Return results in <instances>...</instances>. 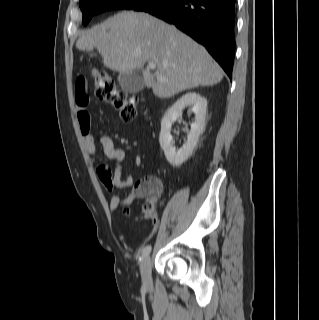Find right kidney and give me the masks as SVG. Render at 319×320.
I'll list each match as a JSON object with an SVG mask.
<instances>
[{"label": "right kidney", "instance_id": "1", "mask_svg": "<svg viewBox=\"0 0 319 320\" xmlns=\"http://www.w3.org/2000/svg\"><path fill=\"white\" fill-rule=\"evenodd\" d=\"M192 105L195 114V121L188 132L187 142L178 150L173 144L171 136L172 124L182 116V110ZM207 101L200 94L195 92L186 93L179 98L165 113L161 121V132L159 137L160 146L164 151L167 161L173 166L182 165L192 154L197 145L199 136L205 128Z\"/></svg>", "mask_w": 319, "mask_h": 320}]
</instances>
